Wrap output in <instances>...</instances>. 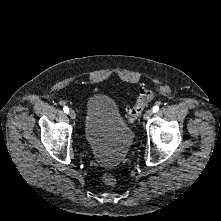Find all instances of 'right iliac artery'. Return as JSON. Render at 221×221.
I'll return each mask as SVG.
<instances>
[{"label":"right iliac artery","instance_id":"1","mask_svg":"<svg viewBox=\"0 0 221 221\" xmlns=\"http://www.w3.org/2000/svg\"><path fill=\"white\" fill-rule=\"evenodd\" d=\"M63 110H64V112H65L66 114L69 113V108H68V107L65 106V107L63 108Z\"/></svg>","mask_w":221,"mask_h":221}]
</instances>
